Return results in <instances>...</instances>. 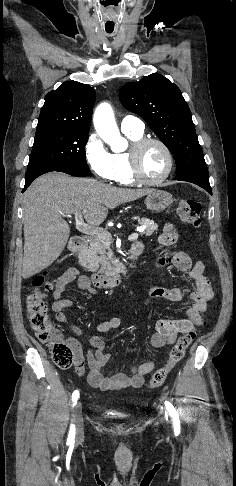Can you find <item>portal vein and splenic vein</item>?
Masks as SVG:
<instances>
[{
  "mask_svg": "<svg viewBox=\"0 0 236 486\" xmlns=\"http://www.w3.org/2000/svg\"><path fill=\"white\" fill-rule=\"evenodd\" d=\"M62 215H63V217H70V215H65V214H62ZM75 221H76V229L78 231H80L84 234L93 236L95 238L110 240L111 235L108 231L101 229L99 227H96L94 225H90V224L85 223L83 218H82V214L80 212L75 213ZM143 230H144V228L139 229L138 231L141 232ZM138 236H139V234L136 232V233L131 234L128 237V239L129 240H136V239H138Z\"/></svg>",
  "mask_w": 236,
  "mask_h": 486,
  "instance_id": "obj_1",
  "label": "portal vein and splenic vein"
}]
</instances>
